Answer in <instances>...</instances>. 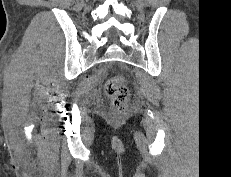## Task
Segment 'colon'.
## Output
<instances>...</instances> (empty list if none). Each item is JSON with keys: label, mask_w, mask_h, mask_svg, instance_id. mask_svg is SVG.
<instances>
[{"label": "colon", "mask_w": 231, "mask_h": 177, "mask_svg": "<svg viewBox=\"0 0 231 177\" xmlns=\"http://www.w3.org/2000/svg\"><path fill=\"white\" fill-rule=\"evenodd\" d=\"M105 91L108 97L111 99L113 108L117 112L124 111L130 98V92L126 85V79L122 76L110 78L105 85Z\"/></svg>", "instance_id": "obj_1"}]
</instances>
